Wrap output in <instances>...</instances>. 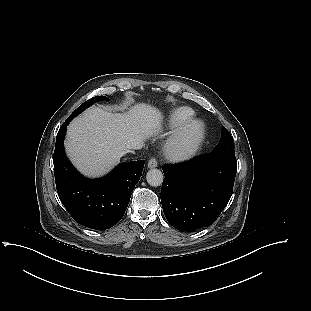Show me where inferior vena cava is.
<instances>
[{
    "mask_svg": "<svg viewBox=\"0 0 311 311\" xmlns=\"http://www.w3.org/2000/svg\"><path fill=\"white\" fill-rule=\"evenodd\" d=\"M126 150L132 154L136 153L140 150V145L138 143H128L126 145Z\"/></svg>",
    "mask_w": 311,
    "mask_h": 311,
    "instance_id": "obj_1",
    "label": "inferior vena cava"
}]
</instances>
